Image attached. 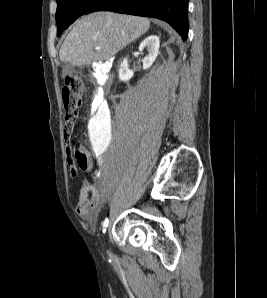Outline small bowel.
Wrapping results in <instances>:
<instances>
[{
  "label": "small bowel",
  "mask_w": 267,
  "mask_h": 298,
  "mask_svg": "<svg viewBox=\"0 0 267 298\" xmlns=\"http://www.w3.org/2000/svg\"><path fill=\"white\" fill-rule=\"evenodd\" d=\"M65 139H69L65 137ZM110 192L100 193L91 185H84L80 189L79 201L76 207L77 213L82 219L94 223L97 219V212L101 206L110 198Z\"/></svg>",
  "instance_id": "1"
}]
</instances>
